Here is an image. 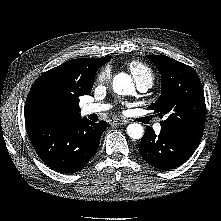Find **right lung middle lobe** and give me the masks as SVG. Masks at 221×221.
<instances>
[{
	"label": "right lung middle lobe",
	"mask_w": 221,
	"mask_h": 221,
	"mask_svg": "<svg viewBox=\"0 0 221 221\" xmlns=\"http://www.w3.org/2000/svg\"><path fill=\"white\" fill-rule=\"evenodd\" d=\"M29 100L35 111H47L58 105L61 95L51 87H44L35 91Z\"/></svg>",
	"instance_id": "right-lung-middle-lobe-1"
}]
</instances>
